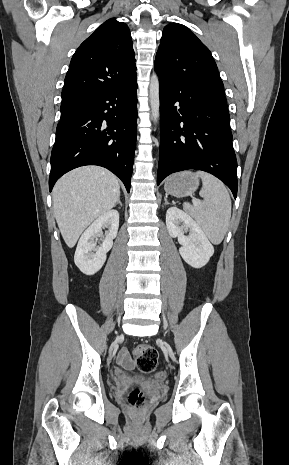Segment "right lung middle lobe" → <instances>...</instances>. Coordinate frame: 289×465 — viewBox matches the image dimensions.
<instances>
[{
    "label": "right lung middle lobe",
    "mask_w": 289,
    "mask_h": 465,
    "mask_svg": "<svg viewBox=\"0 0 289 465\" xmlns=\"http://www.w3.org/2000/svg\"><path fill=\"white\" fill-rule=\"evenodd\" d=\"M81 108L80 103L61 106V120L67 119L74 115Z\"/></svg>",
    "instance_id": "1"
}]
</instances>
